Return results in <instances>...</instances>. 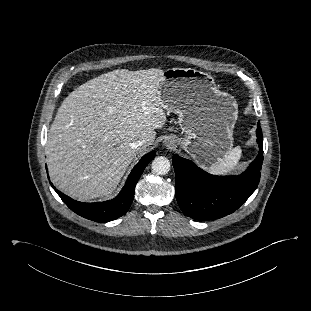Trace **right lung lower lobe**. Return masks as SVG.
I'll return each mask as SVG.
<instances>
[{
  "instance_id": "98d812e1",
  "label": "right lung lower lobe",
  "mask_w": 311,
  "mask_h": 311,
  "mask_svg": "<svg viewBox=\"0 0 311 311\" xmlns=\"http://www.w3.org/2000/svg\"><path fill=\"white\" fill-rule=\"evenodd\" d=\"M154 157V151L143 156L139 163L131 171L130 175L127 178L125 186L123 187L119 195L109 201L98 203L78 202L55 189L51 182L50 184L52 188L56 191V193L60 196V198L63 200V202L73 212L89 220H93L96 222H108L121 217L128 211L133 201L136 183L138 182L146 165Z\"/></svg>"
}]
</instances>
